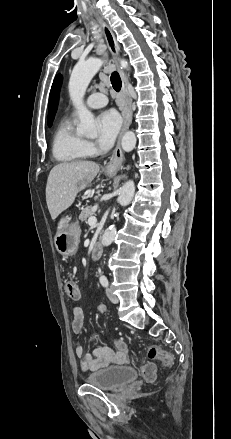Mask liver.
Returning a JSON list of instances; mask_svg holds the SVG:
<instances>
[{
  "instance_id": "liver-1",
  "label": "liver",
  "mask_w": 231,
  "mask_h": 439,
  "mask_svg": "<svg viewBox=\"0 0 231 439\" xmlns=\"http://www.w3.org/2000/svg\"><path fill=\"white\" fill-rule=\"evenodd\" d=\"M99 170V165L92 161L60 163L52 168L47 179L46 202L53 220L73 204Z\"/></svg>"
}]
</instances>
